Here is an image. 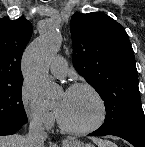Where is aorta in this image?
<instances>
[{"label": "aorta", "instance_id": "obj_1", "mask_svg": "<svg viewBox=\"0 0 145 147\" xmlns=\"http://www.w3.org/2000/svg\"><path fill=\"white\" fill-rule=\"evenodd\" d=\"M60 43L61 34L56 27H52L33 41L24 53L23 74L35 88L38 98L43 101L52 98L55 92V85L48 77V67Z\"/></svg>", "mask_w": 145, "mask_h": 147}]
</instances>
